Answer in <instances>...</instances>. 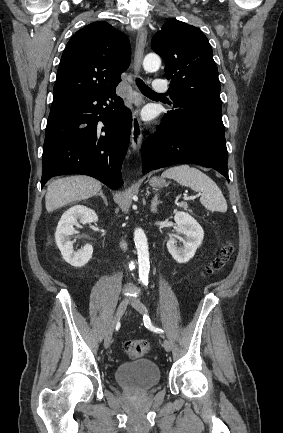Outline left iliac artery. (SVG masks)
I'll use <instances>...</instances> for the list:
<instances>
[{"label": "left iliac artery", "mask_w": 283, "mask_h": 433, "mask_svg": "<svg viewBox=\"0 0 283 433\" xmlns=\"http://www.w3.org/2000/svg\"><path fill=\"white\" fill-rule=\"evenodd\" d=\"M143 320H144V323H145V324L148 323V324H149V328H152L155 332H158V333H163V332H164L162 329H160V328H155V327H153V326L151 325V320H150V318H149L148 315H144V316H143Z\"/></svg>", "instance_id": "44dca946"}]
</instances>
